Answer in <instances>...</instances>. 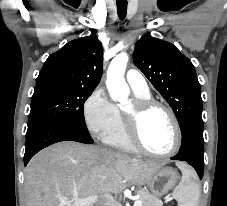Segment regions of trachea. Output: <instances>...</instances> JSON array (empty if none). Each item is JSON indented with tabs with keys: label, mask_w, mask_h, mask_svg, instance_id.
<instances>
[{
	"label": "trachea",
	"mask_w": 227,
	"mask_h": 206,
	"mask_svg": "<svg viewBox=\"0 0 227 206\" xmlns=\"http://www.w3.org/2000/svg\"><path fill=\"white\" fill-rule=\"evenodd\" d=\"M117 13L120 20H123L126 17L127 13V1L126 0H117Z\"/></svg>",
	"instance_id": "3493384b"
}]
</instances>
